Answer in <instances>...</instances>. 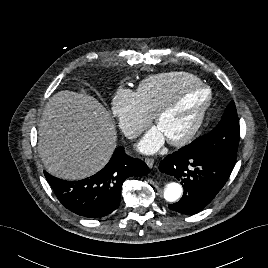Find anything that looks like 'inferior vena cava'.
<instances>
[{
  "instance_id": "602c4592",
  "label": "inferior vena cava",
  "mask_w": 268,
  "mask_h": 268,
  "mask_svg": "<svg viewBox=\"0 0 268 268\" xmlns=\"http://www.w3.org/2000/svg\"><path fill=\"white\" fill-rule=\"evenodd\" d=\"M126 136L129 138V139H132V138H135L137 136V133L133 130L131 131H128Z\"/></svg>"
}]
</instances>
